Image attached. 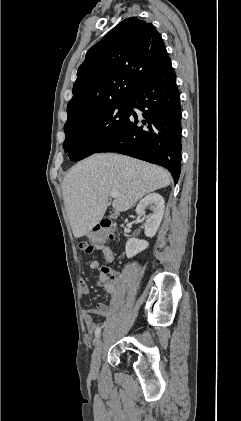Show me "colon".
<instances>
[{
  "label": "colon",
  "instance_id": "5ec220e1",
  "mask_svg": "<svg viewBox=\"0 0 241 421\" xmlns=\"http://www.w3.org/2000/svg\"><path fill=\"white\" fill-rule=\"evenodd\" d=\"M115 235V225L111 221L103 220L94 227L93 233L89 237L90 241L81 242L79 247L84 253L91 254L98 245H102L108 240L113 239ZM102 270L107 274L110 273V269L107 267H102Z\"/></svg>",
  "mask_w": 241,
  "mask_h": 421
}]
</instances>
